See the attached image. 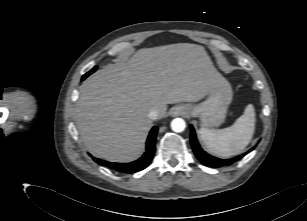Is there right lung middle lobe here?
<instances>
[{
    "instance_id": "right-lung-middle-lobe-1",
    "label": "right lung middle lobe",
    "mask_w": 307,
    "mask_h": 221,
    "mask_svg": "<svg viewBox=\"0 0 307 221\" xmlns=\"http://www.w3.org/2000/svg\"><path fill=\"white\" fill-rule=\"evenodd\" d=\"M97 69V66H95L92 70H90L88 73L85 74V77L89 76L90 74H92L93 72H95Z\"/></svg>"
}]
</instances>
